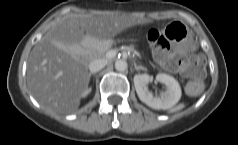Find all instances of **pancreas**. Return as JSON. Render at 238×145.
<instances>
[{
    "label": "pancreas",
    "mask_w": 238,
    "mask_h": 145,
    "mask_svg": "<svg viewBox=\"0 0 238 145\" xmlns=\"http://www.w3.org/2000/svg\"><path fill=\"white\" fill-rule=\"evenodd\" d=\"M111 44H109L107 47H106V51L110 50L111 49Z\"/></svg>",
    "instance_id": "1"
}]
</instances>
